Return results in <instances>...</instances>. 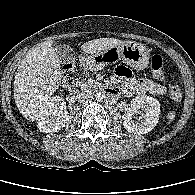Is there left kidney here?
<instances>
[{"mask_svg":"<svg viewBox=\"0 0 195 195\" xmlns=\"http://www.w3.org/2000/svg\"><path fill=\"white\" fill-rule=\"evenodd\" d=\"M143 112V113H142ZM141 113L137 121L133 115ZM160 115V103L153 97L142 95L132 99L130 109L122 116L124 128L134 134H146L158 123Z\"/></svg>","mask_w":195,"mask_h":195,"instance_id":"5707ae66","label":"left kidney"}]
</instances>
